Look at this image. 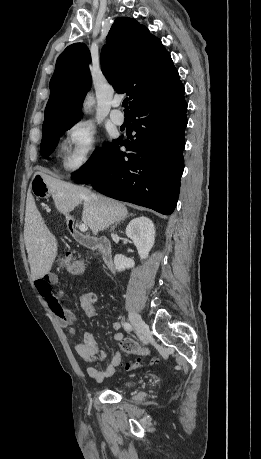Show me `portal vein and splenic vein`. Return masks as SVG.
<instances>
[{
    "mask_svg": "<svg viewBox=\"0 0 261 459\" xmlns=\"http://www.w3.org/2000/svg\"><path fill=\"white\" fill-rule=\"evenodd\" d=\"M79 230L81 232H85V231L88 230V226L85 223H82V224L79 225Z\"/></svg>",
    "mask_w": 261,
    "mask_h": 459,
    "instance_id": "1",
    "label": "portal vein and splenic vein"
}]
</instances>
